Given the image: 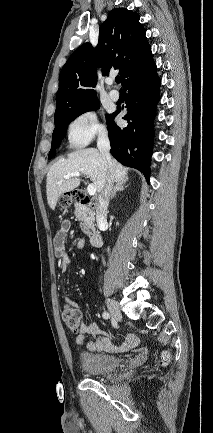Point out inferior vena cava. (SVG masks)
<instances>
[{
	"mask_svg": "<svg viewBox=\"0 0 213 433\" xmlns=\"http://www.w3.org/2000/svg\"><path fill=\"white\" fill-rule=\"evenodd\" d=\"M97 147L101 155L107 160L108 164H111L110 156V142L107 133L103 132L99 135L97 141ZM113 187L112 177H108L104 189L100 192L97 204H96V219L99 225L106 223V217L108 213L109 198Z\"/></svg>",
	"mask_w": 213,
	"mask_h": 433,
	"instance_id": "1",
	"label": "inferior vena cava"
}]
</instances>
